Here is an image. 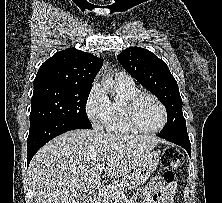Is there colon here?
Masks as SVG:
<instances>
[{
  "mask_svg": "<svg viewBox=\"0 0 222 203\" xmlns=\"http://www.w3.org/2000/svg\"><path fill=\"white\" fill-rule=\"evenodd\" d=\"M183 155L175 147L168 146L162 154V163L165 167L164 179L166 182H173L176 169L182 164Z\"/></svg>",
  "mask_w": 222,
  "mask_h": 203,
  "instance_id": "colon-1",
  "label": "colon"
}]
</instances>
